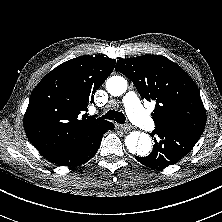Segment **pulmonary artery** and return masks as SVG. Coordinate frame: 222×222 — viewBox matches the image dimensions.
<instances>
[{"instance_id": "pulmonary-artery-1", "label": "pulmonary artery", "mask_w": 222, "mask_h": 222, "mask_svg": "<svg viewBox=\"0 0 222 222\" xmlns=\"http://www.w3.org/2000/svg\"><path fill=\"white\" fill-rule=\"evenodd\" d=\"M123 102L127 108L130 119L146 131H152L155 129V123L153 119L146 113L138 102L137 95L134 92H128Z\"/></svg>"}]
</instances>
